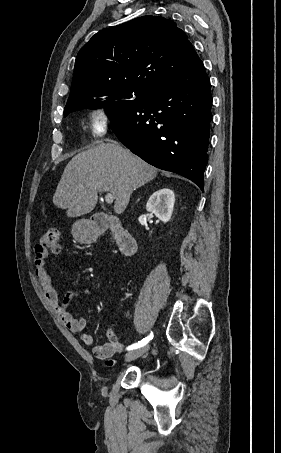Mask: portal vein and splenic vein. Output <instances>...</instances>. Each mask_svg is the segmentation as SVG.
Returning a JSON list of instances; mask_svg holds the SVG:
<instances>
[{
  "label": "portal vein and splenic vein",
  "instance_id": "18ae733b",
  "mask_svg": "<svg viewBox=\"0 0 281 453\" xmlns=\"http://www.w3.org/2000/svg\"><path fill=\"white\" fill-rule=\"evenodd\" d=\"M114 200V196L112 194V192H107L106 196H105V202H109V204H111V202H113Z\"/></svg>",
  "mask_w": 281,
  "mask_h": 453
}]
</instances>
